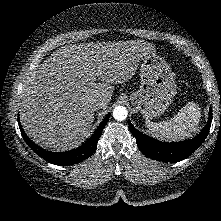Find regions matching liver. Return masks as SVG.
I'll return each instance as SVG.
<instances>
[{
	"label": "liver",
	"mask_w": 221,
	"mask_h": 221,
	"mask_svg": "<svg viewBox=\"0 0 221 221\" xmlns=\"http://www.w3.org/2000/svg\"><path fill=\"white\" fill-rule=\"evenodd\" d=\"M154 52L143 40L60 47L24 82L20 120L26 134L43 148L77 147L92 127L93 103L102 99L107 107L114 84L128 81L139 61Z\"/></svg>",
	"instance_id": "6515ba94"
}]
</instances>
